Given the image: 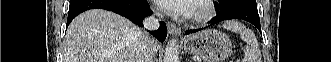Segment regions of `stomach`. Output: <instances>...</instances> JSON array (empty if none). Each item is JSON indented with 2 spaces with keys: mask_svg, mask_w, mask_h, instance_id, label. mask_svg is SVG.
Here are the masks:
<instances>
[{
  "mask_svg": "<svg viewBox=\"0 0 331 62\" xmlns=\"http://www.w3.org/2000/svg\"><path fill=\"white\" fill-rule=\"evenodd\" d=\"M184 49L200 56L204 62H223L232 52V43L221 31L204 30L188 37Z\"/></svg>",
  "mask_w": 331,
  "mask_h": 62,
  "instance_id": "stomach-1",
  "label": "stomach"
}]
</instances>
